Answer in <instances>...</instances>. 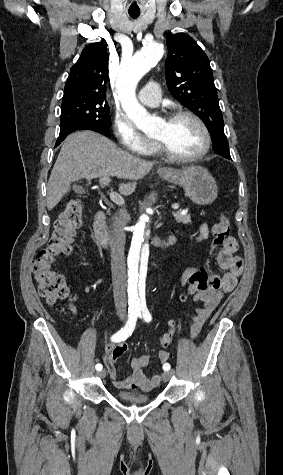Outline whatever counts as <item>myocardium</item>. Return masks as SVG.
<instances>
[{
    "mask_svg": "<svg viewBox=\"0 0 283 475\" xmlns=\"http://www.w3.org/2000/svg\"><path fill=\"white\" fill-rule=\"evenodd\" d=\"M180 117H188L195 121L199 127L202 129L203 132V142L200 149L193 155L187 157H176L171 154L164 144L163 141L159 139H155L156 148L160 156L165 158L167 161L178 164V165H186L192 164L200 161L205 155L209 152L211 147V135L209 128L207 127L206 123L195 113L186 110H174L168 114V120H174Z\"/></svg>",
    "mask_w": 283,
    "mask_h": 475,
    "instance_id": "f54148a6",
    "label": "myocardium"
}]
</instances>
